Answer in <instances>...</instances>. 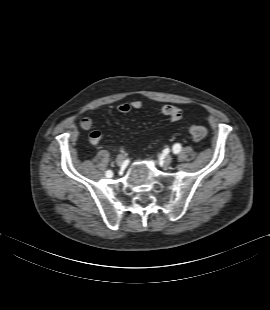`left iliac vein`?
Listing matches in <instances>:
<instances>
[{"mask_svg": "<svg viewBox=\"0 0 270 310\" xmlns=\"http://www.w3.org/2000/svg\"><path fill=\"white\" fill-rule=\"evenodd\" d=\"M165 165H169L172 162V157L170 155H166L163 160Z\"/></svg>", "mask_w": 270, "mask_h": 310, "instance_id": "4c4485c4", "label": "left iliac vein"}]
</instances>
